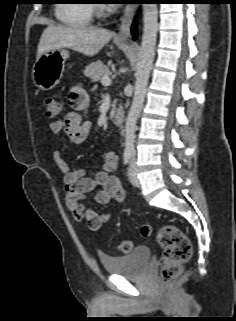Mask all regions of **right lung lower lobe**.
Instances as JSON below:
<instances>
[{"instance_id": "1", "label": "right lung lower lobe", "mask_w": 236, "mask_h": 321, "mask_svg": "<svg viewBox=\"0 0 236 321\" xmlns=\"http://www.w3.org/2000/svg\"><path fill=\"white\" fill-rule=\"evenodd\" d=\"M140 3H142V1H141ZM132 34H133V35L135 36V38H136V36H137V29H136V25H135V24L132 25Z\"/></svg>"}]
</instances>
